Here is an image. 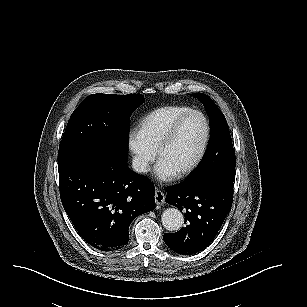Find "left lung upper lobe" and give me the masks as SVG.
Masks as SVG:
<instances>
[{
	"instance_id": "5c2ea615",
	"label": "left lung upper lobe",
	"mask_w": 307,
	"mask_h": 307,
	"mask_svg": "<svg viewBox=\"0 0 307 307\" xmlns=\"http://www.w3.org/2000/svg\"><path fill=\"white\" fill-rule=\"evenodd\" d=\"M204 105L210 122V140L206 153L195 171L183 182L194 181L212 175L235 179V151L227 121L216 104L203 93H195Z\"/></svg>"
}]
</instances>
